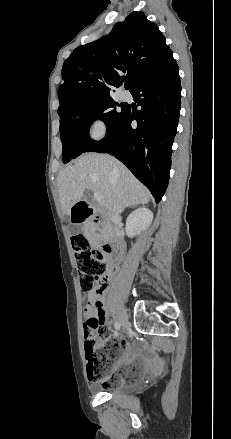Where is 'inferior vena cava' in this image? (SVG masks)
Returning <instances> with one entry per match:
<instances>
[{
    "label": "inferior vena cava",
    "instance_id": "inferior-vena-cava-1",
    "mask_svg": "<svg viewBox=\"0 0 231 439\" xmlns=\"http://www.w3.org/2000/svg\"><path fill=\"white\" fill-rule=\"evenodd\" d=\"M111 217H112V218H116V217H117V214H112Z\"/></svg>",
    "mask_w": 231,
    "mask_h": 439
}]
</instances>
